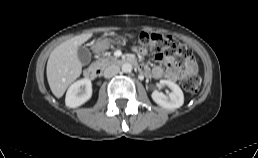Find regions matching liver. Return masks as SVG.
Instances as JSON below:
<instances>
[{
    "instance_id": "6515ba94",
    "label": "liver",
    "mask_w": 258,
    "mask_h": 158,
    "mask_svg": "<svg viewBox=\"0 0 258 158\" xmlns=\"http://www.w3.org/2000/svg\"><path fill=\"white\" fill-rule=\"evenodd\" d=\"M92 37V33L75 36L58 45L50 54L47 62V80L54 96L60 98L68 86L82 72V64L78 59V48Z\"/></svg>"
}]
</instances>
